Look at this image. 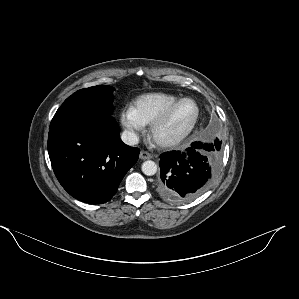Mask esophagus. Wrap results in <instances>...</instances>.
Listing matches in <instances>:
<instances>
[{"label":"esophagus","mask_w":299,"mask_h":299,"mask_svg":"<svg viewBox=\"0 0 299 299\" xmlns=\"http://www.w3.org/2000/svg\"><path fill=\"white\" fill-rule=\"evenodd\" d=\"M139 157L142 160H147V159H151L152 155L147 151H141Z\"/></svg>","instance_id":"34e87169"}]
</instances>
